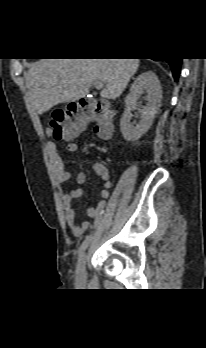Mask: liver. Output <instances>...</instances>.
<instances>
[{
  "instance_id": "obj_1",
  "label": "liver",
  "mask_w": 206,
  "mask_h": 348,
  "mask_svg": "<svg viewBox=\"0 0 206 348\" xmlns=\"http://www.w3.org/2000/svg\"><path fill=\"white\" fill-rule=\"evenodd\" d=\"M139 59H41L26 77L30 99L39 114L85 97L95 81L105 84L101 97L115 99L127 87Z\"/></svg>"
}]
</instances>
